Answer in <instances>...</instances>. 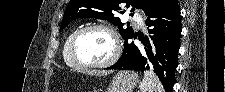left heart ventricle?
<instances>
[{
    "label": "left heart ventricle",
    "mask_w": 225,
    "mask_h": 92,
    "mask_svg": "<svg viewBox=\"0 0 225 92\" xmlns=\"http://www.w3.org/2000/svg\"><path fill=\"white\" fill-rule=\"evenodd\" d=\"M76 51L83 61L102 63L113 55L114 46L108 33L102 30H91L80 38Z\"/></svg>",
    "instance_id": "left-heart-ventricle-1"
}]
</instances>
